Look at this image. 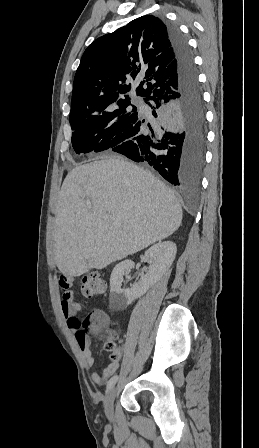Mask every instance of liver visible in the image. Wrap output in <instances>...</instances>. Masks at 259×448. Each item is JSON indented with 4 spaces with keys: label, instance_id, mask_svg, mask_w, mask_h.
<instances>
[{
    "label": "liver",
    "instance_id": "1",
    "mask_svg": "<svg viewBox=\"0 0 259 448\" xmlns=\"http://www.w3.org/2000/svg\"><path fill=\"white\" fill-rule=\"evenodd\" d=\"M181 222L172 190L133 162L113 156L78 166L66 176L55 210L56 266L64 276L102 270L165 240Z\"/></svg>",
    "mask_w": 259,
    "mask_h": 448
}]
</instances>
